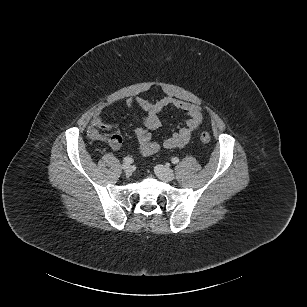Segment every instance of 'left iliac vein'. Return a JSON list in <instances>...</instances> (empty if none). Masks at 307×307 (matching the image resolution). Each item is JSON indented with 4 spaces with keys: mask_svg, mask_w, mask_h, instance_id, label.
Returning a JSON list of instances; mask_svg holds the SVG:
<instances>
[{
    "mask_svg": "<svg viewBox=\"0 0 307 307\" xmlns=\"http://www.w3.org/2000/svg\"><path fill=\"white\" fill-rule=\"evenodd\" d=\"M154 171L156 175L165 182H169L174 179V171L163 165H156Z\"/></svg>",
    "mask_w": 307,
    "mask_h": 307,
    "instance_id": "4c4485c4",
    "label": "left iliac vein"
}]
</instances>
